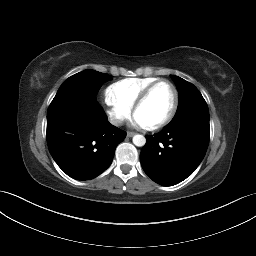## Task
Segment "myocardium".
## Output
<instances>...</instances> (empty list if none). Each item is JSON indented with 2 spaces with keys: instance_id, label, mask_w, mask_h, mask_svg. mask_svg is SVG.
I'll list each match as a JSON object with an SVG mask.
<instances>
[{
  "instance_id": "myocardium-1",
  "label": "myocardium",
  "mask_w": 256,
  "mask_h": 256,
  "mask_svg": "<svg viewBox=\"0 0 256 256\" xmlns=\"http://www.w3.org/2000/svg\"><path fill=\"white\" fill-rule=\"evenodd\" d=\"M162 83H166L168 84L174 93V100H173V104L171 106L170 111L168 112V114L159 122L152 124V125H148V126H144L145 129L147 130H157L160 129L162 127H164L165 125H167L174 117L177 108H178V104H179V92L177 87L175 86V84L173 82H171L170 80L167 79H159L156 82L150 84L148 87H146L143 92L139 95V97L136 99L133 107H132V112L135 115L136 111L146 102V100L148 99L149 95L151 94V92L160 84Z\"/></svg>"
}]
</instances>
